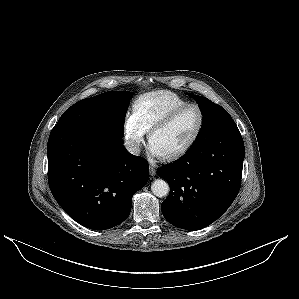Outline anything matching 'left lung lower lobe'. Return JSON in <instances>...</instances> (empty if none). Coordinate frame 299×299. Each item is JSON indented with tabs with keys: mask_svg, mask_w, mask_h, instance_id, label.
<instances>
[{
	"mask_svg": "<svg viewBox=\"0 0 299 299\" xmlns=\"http://www.w3.org/2000/svg\"><path fill=\"white\" fill-rule=\"evenodd\" d=\"M244 155L242 136L230 121L179 160L159 168L158 176L170 185L161 205L165 219L185 230L216 221L239 192Z\"/></svg>",
	"mask_w": 299,
	"mask_h": 299,
	"instance_id": "obj_1",
	"label": "left lung lower lobe"
}]
</instances>
